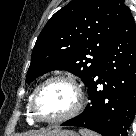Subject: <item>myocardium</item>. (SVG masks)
<instances>
[{
	"mask_svg": "<svg viewBox=\"0 0 136 136\" xmlns=\"http://www.w3.org/2000/svg\"><path fill=\"white\" fill-rule=\"evenodd\" d=\"M52 82H63L65 84L69 85L74 91L75 102H74L73 107L66 114H64L60 117L51 118V119L42 118L36 112V108H35L36 100H37L39 93L48 84H50ZM83 102H84L83 88L74 78H72L70 76H66V75H55V76H51V77L47 78L46 80H44L34 90V92L31 95L30 102H29V111L31 113L32 118L37 122L47 123V124H56V123H62V122L68 121V120L72 119L73 117H75L82 109Z\"/></svg>",
	"mask_w": 136,
	"mask_h": 136,
	"instance_id": "1",
	"label": "myocardium"
}]
</instances>
